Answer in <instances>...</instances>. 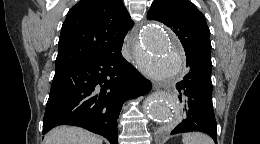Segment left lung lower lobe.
<instances>
[{"instance_id": "obj_1", "label": "left lung lower lobe", "mask_w": 260, "mask_h": 144, "mask_svg": "<svg viewBox=\"0 0 260 144\" xmlns=\"http://www.w3.org/2000/svg\"><path fill=\"white\" fill-rule=\"evenodd\" d=\"M187 66L190 67V71L176 84L184 114L171 134L201 131L209 134L216 143L217 125L212 104V67L196 61H187Z\"/></svg>"}]
</instances>
